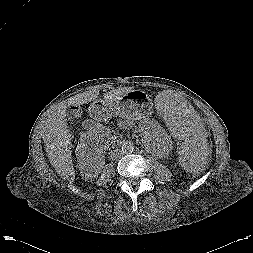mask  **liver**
<instances>
[{
  "mask_svg": "<svg viewBox=\"0 0 253 253\" xmlns=\"http://www.w3.org/2000/svg\"><path fill=\"white\" fill-rule=\"evenodd\" d=\"M132 90L134 87L111 90L103 95V100L107 102L118 100ZM98 96L99 90L93 89L71 97L67 104L62 103L48 116L43 127L44 143L50 163L58 175L70 183L75 180V170L72 163L71 133L67 126L66 111L69 106H79L95 101Z\"/></svg>",
  "mask_w": 253,
  "mask_h": 253,
  "instance_id": "1",
  "label": "liver"
}]
</instances>
